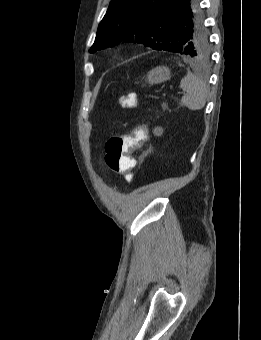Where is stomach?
Here are the masks:
<instances>
[{"label":"stomach","instance_id":"obj_1","mask_svg":"<svg viewBox=\"0 0 261 340\" xmlns=\"http://www.w3.org/2000/svg\"><path fill=\"white\" fill-rule=\"evenodd\" d=\"M170 77H171L170 69L165 66H159L149 71L146 77V81L150 85H153L167 81L170 79Z\"/></svg>","mask_w":261,"mask_h":340}]
</instances>
